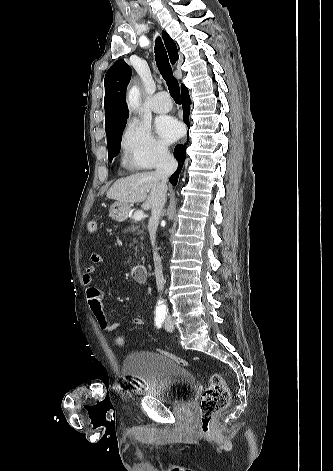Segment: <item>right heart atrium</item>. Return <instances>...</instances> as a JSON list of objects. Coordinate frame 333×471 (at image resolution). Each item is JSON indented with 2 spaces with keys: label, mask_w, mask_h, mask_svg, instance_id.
Segmentation results:
<instances>
[{
  "label": "right heart atrium",
  "mask_w": 333,
  "mask_h": 471,
  "mask_svg": "<svg viewBox=\"0 0 333 471\" xmlns=\"http://www.w3.org/2000/svg\"><path fill=\"white\" fill-rule=\"evenodd\" d=\"M120 147L123 163L131 169H152L170 159L168 149L150 127L135 119L129 120L123 128Z\"/></svg>",
  "instance_id": "d8ad5b80"
}]
</instances>
